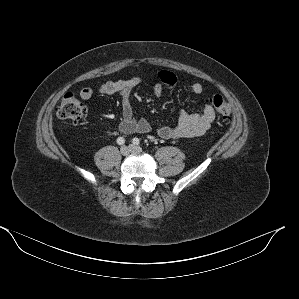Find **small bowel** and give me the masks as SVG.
I'll list each match as a JSON object with an SVG mask.
<instances>
[{"mask_svg":"<svg viewBox=\"0 0 299 299\" xmlns=\"http://www.w3.org/2000/svg\"><path fill=\"white\" fill-rule=\"evenodd\" d=\"M159 82L153 86V93L156 96L175 86L177 77L174 73L166 70L158 72ZM142 83L140 76H131L126 79L109 81L99 87V93L102 95L119 94L121 98L122 117L119 122V130L123 134H132L134 132L146 134L151 131V125L146 119H136L131 106V91ZM191 91L195 95H201L203 85L199 82H193L190 85ZM94 95V90L90 87L81 89L80 96L84 100H90ZM215 119V110L209 103L194 113L185 111L178 112L176 124L163 125L156 129L159 137L164 139H183L195 138L203 135L211 126Z\"/></svg>","mask_w":299,"mask_h":299,"instance_id":"c3829d8e","label":"small bowel"}]
</instances>
